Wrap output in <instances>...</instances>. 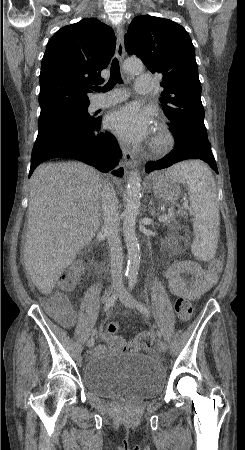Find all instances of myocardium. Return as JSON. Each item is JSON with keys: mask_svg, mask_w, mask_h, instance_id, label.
I'll return each mask as SVG.
<instances>
[{"mask_svg": "<svg viewBox=\"0 0 245 450\" xmlns=\"http://www.w3.org/2000/svg\"><path fill=\"white\" fill-rule=\"evenodd\" d=\"M175 144V137L170 127L165 122L157 124L153 137L151 149L154 153H163L168 151Z\"/></svg>", "mask_w": 245, "mask_h": 450, "instance_id": "myocardium-1", "label": "myocardium"}]
</instances>
